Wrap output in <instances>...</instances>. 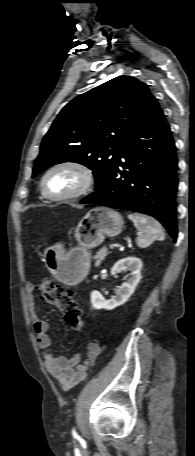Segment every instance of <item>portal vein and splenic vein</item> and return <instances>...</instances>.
I'll return each instance as SVG.
<instances>
[{"instance_id": "portal-vein-and-splenic-vein-1", "label": "portal vein and splenic vein", "mask_w": 195, "mask_h": 456, "mask_svg": "<svg viewBox=\"0 0 195 456\" xmlns=\"http://www.w3.org/2000/svg\"><path fill=\"white\" fill-rule=\"evenodd\" d=\"M115 246H116L115 244H110V245H109V248H110V249H113Z\"/></svg>"}]
</instances>
